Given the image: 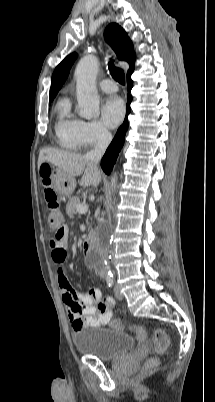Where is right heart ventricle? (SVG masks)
<instances>
[{
  "instance_id": "obj_1",
  "label": "right heart ventricle",
  "mask_w": 215,
  "mask_h": 402,
  "mask_svg": "<svg viewBox=\"0 0 215 402\" xmlns=\"http://www.w3.org/2000/svg\"><path fill=\"white\" fill-rule=\"evenodd\" d=\"M55 136L57 143L65 149L76 150L80 144L77 138L78 119L71 112V103L63 97L56 104Z\"/></svg>"
}]
</instances>
